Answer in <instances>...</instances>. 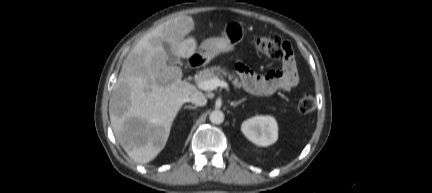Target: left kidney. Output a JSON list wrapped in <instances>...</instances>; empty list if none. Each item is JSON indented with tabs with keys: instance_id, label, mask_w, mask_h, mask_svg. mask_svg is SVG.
<instances>
[{
	"instance_id": "5707ae66",
	"label": "left kidney",
	"mask_w": 432,
	"mask_h": 193,
	"mask_svg": "<svg viewBox=\"0 0 432 193\" xmlns=\"http://www.w3.org/2000/svg\"><path fill=\"white\" fill-rule=\"evenodd\" d=\"M241 131L258 146H269L278 139V125L272 116L252 117L242 123Z\"/></svg>"
}]
</instances>
